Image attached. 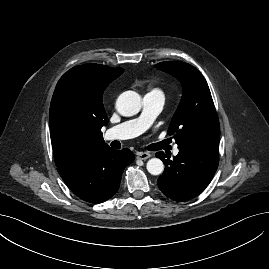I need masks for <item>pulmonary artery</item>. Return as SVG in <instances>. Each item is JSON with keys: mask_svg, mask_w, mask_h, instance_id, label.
<instances>
[{"mask_svg": "<svg viewBox=\"0 0 269 269\" xmlns=\"http://www.w3.org/2000/svg\"><path fill=\"white\" fill-rule=\"evenodd\" d=\"M165 102L164 95L159 91L146 94L143 98V110L138 118L125 121L117 126L110 128L105 139H129L142 134L154 121L161 111ZM179 150L174 149V154Z\"/></svg>", "mask_w": 269, "mask_h": 269, "instance_id": "1", "label": "pulmonary artery"}]
</instances>
